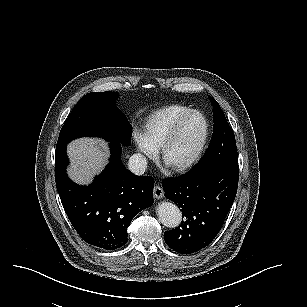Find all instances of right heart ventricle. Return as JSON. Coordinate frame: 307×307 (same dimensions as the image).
<instances>
[{
  "instance_id": "e07e8e85",
  "label": "right heart ventricle",
  "mask_w": 307,
  "mask_h": 307,
  "mask_svg": "<svg viewBox=\"0 0 307 307\" xmlns=\"http://www.w3.org/2000/svg\"><path fill=\"white\" fill-rule=\"evenodd\" d=\"M179 112V107H173L169 104L161 106L145 123V134L153 140L161 139L178 124Z\"/></svg>"
}]
</instances>
